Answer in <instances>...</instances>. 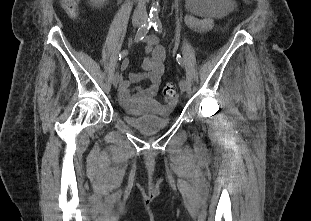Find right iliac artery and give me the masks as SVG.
I'll return each mask as SVG.
<instances>
[{
	"mask_svg": "<svg viewBox=\"0 0 311 221\" xmlns=\"http://www.w3.org/2000/svg\"><path fill=\"white\" fill-rule=\"evenodd\" d=\"M153 20L148 19L139 29L137 30L136 36H135V42H139L143 40V38L146 36L148 33L149 29L153 26ZM128 54L127 50H123L119 54V60L123 59L126 55Z\"/></svg>",
	"mask_w": 311,
	"mask_h": 221,
	"instance_id": "82829eb1",
	"label": "right iliac artery"
}]
</instances>
